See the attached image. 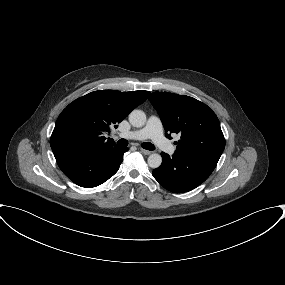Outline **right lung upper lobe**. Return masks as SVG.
Returning a JSON list of instances; mask_svg holds the SVG:
<instances>
[{
	"instance_id": "obj_1",
	"label": "right lung upper lobe",
	"mask_w": 285,
	"mask_h": 285,
	"mask_svg": "<svg viewBox=\"0 0 285 285\" xmlns=\"http://www.w3.org/2000/svg\"><path fill=\"white\" fill-rule=\"evenodd\" d=\"M149 91L99 90L70 103L59 115L50 138L52 151L80 147L87 150L118 147L104 133L110 132L142 104Z\"/></svg>"
}]
</instances>
